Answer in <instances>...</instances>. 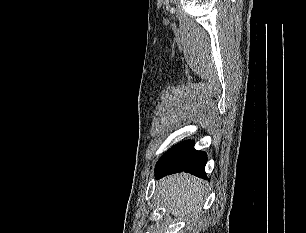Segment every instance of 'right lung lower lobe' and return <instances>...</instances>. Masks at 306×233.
<instances>
[{
  "instance_id": "obj_1",
  "label": "right lung lower lobe",
  "mask_w": 306,
  "mask_h": 233,
  "mask_svg": "<svg viewBox=\"0 0 306 233\" xmlns=\"http://www.w3.org/2000/svg\"><path fill=\"white\" fill-rule=\"evenodd\" d=\"M205 152L194 149V141H183L169 149L157 162L155 167L156 178L176 172H188L207 179Z\"/></svg>"
}]
</instances>
